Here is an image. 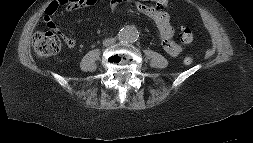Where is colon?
<instances>
[{"label": "colon", "instance_id": "obj_1", "mask_svg": "<svg viewBox=\"0 0 253 143\" xmlns=\"http://www.w3.org/2000/svg\"><path fill=\"white\" fill-rule=\"evenodd\" d=\"M94 0H53L47 7L51 13H55L58 8H77ZM182 38L185 42H190L192 39V33L189 29H182ZM33 48L35 54L39 58H47L57 54L60 51L61 43L58 37L52 32H37L33 36ZM193 62V57L187 55L184 58V63L189 65Z\"/></svg>", "mask_w": 253, "mask_h": 143}]
</instances>
